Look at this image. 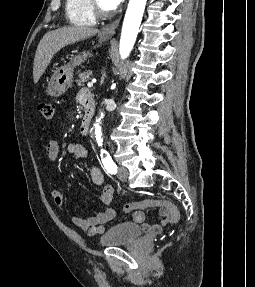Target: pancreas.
<instances>
[{
    "mask_svg": "<svg viewBox=\"0 0 255 287\" xmlns=\"http://www.w3.org/2000/svg\"><path fill=\"white\" fill-rule=\"evenodd\" d=\"M92 76L91 70H86V72L79 74V80H76V84H78V86H83L87 80H92Z\"/></svg>",
    "mask_w": 255,
    "mask_h": 287,
    "instance_id": "1",
    "label": "pancreas"
}]
</instances>
